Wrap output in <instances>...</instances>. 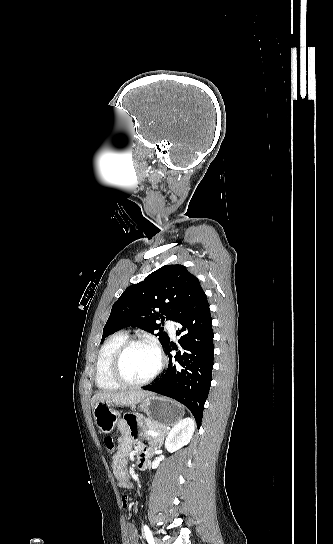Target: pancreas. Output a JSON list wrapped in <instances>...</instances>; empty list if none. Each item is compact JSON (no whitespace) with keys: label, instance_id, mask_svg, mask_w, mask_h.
I'll return each mask as SVG.
<instances>
[{"label":"pancreas","instance_id":"obj_1","mask_svg":"<svg viewBox=\"0 0 333 544\" xmlns=\"http://www.w3.org/2000/svg\"><path fill=\"white\" fill-rule=\"evenodd\" d=\"M139 425L141 426V428L145 431L147 430H152V431H155V432H166V429L164 428L163 425L155 422V421H152L150 418H145L144 420H141L139 422ZM144 437H147L149 438L150 436L145 434ZM153 439H155L156 437H152Z\"/></svg>","mask_w":333,"mask_h":544}]
</instances>
